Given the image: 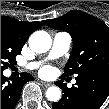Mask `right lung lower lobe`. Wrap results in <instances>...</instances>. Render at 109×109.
Returning <instances> with one entry per match:
<instances>
[{"label": "right lung lower lobe", "instance_id": "obj_1", "mask_svg": "<svg viewBox=\"0 0 109 109\" xmlns=\"http://www.w3.org/2000/svg\"><path fill=\"white\" fill-rule=\"evenodd\" d=\"M1 71V109H13L17 104L25 82L33 80L29 73H22L15 79L6 78Z\"/></svg>", "mask_w": 109, "mask_h": 109}]
</instances>
